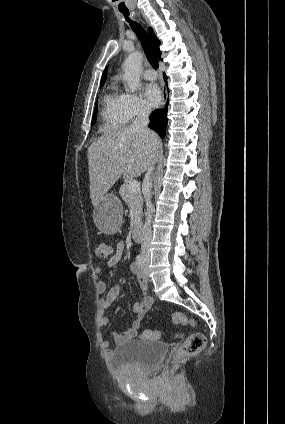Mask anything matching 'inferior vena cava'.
I'll list each match as a JSON object with an SVG mask.
<instances>
[{
    "mask_svg": "<svg viewBox=\"0 0 285 424\" xmlns=\"http://www.w3.org/2000/svg\"><path fill=\"white\" fill-rule=\"evenodd\" d=\"M151 113V110L147 106H143L140 108L136 119L133 121L131 125V129L135 131H139L144 133L145 135L151 136L153 132L148 128L149 124V115ZM156 151L152 153L150 164L147 169V173L145 175L144 181H143V188L145 192V202L147 206V222L144 226V233H143V243L141 245V256L142 260L149 261L150 259V242L152 238V229H151V220H152V213L154 211V207L151 202V189H152V181L151 176L154 170V164L156 161Z\"/></svg>",
    "mask_w": 285,
    "mask_h": 424,
    "instance_id": "inferior-vena-cava-1",
    "label": "inferior vena cava"
}]
</instances>
